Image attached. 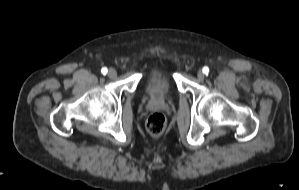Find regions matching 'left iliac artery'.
<instances>
[{
	"instance_id": "44dca946",
	"label": "left iliac artery",
	"mask_w": 299,
	"mask_h": 190,
	"mask_svg": "<svg viewBox=\"0 0 299 190\" xmlns=\"http://www.w3.org/2000/svg\"><path fill=\"white\" fill-rule=\"evenodd\" d=\"M203 72L207 75L209 73V68L208 67H204L203 68Z\"/></svg>"
}]
</instances>
